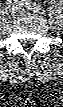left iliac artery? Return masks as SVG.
I'll list each match as a JSON object with an SVG mask.
<instances>
[{
    "instance_id": "44dca946",
    "label": "left iliac artery",
    "mask_w": 63,
    "mask_h": 107,
    "mask_svg": "<svg viewBox=\"0 0 63 107\" xmlns=\"http://www.w3.org/2000/svg\"><path fill=\"white\" fill-rule=\"evenodd\" d=\"M15 3L18 5H23L27 7L28 9H31L34 12H37L40 14H44L46 12L45 9L40 4L31 2L30 0H22V1L15 0Z\"/></svg>"
}]
</instances>
